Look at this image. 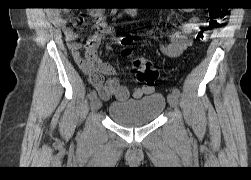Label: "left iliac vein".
I'll list each match as a JSON object with an SVG mask.
<instances>
[{
	"label": "left iliac vein",
	"mask_w": 251,
	"mask_h": 180,
	"mask_svg": "<svg viewBox=\"0 0 251 180\" xmlns=\"http://www.w3.org/2000/svg\"><path fill=\"white\" fill-rule=\"evenodd\" d=\"M168 102L172 108L177 110L178 98L173 93L168 95Z\"/></svg>",
	"instance_id": "obj_1"
}]
</instances>
